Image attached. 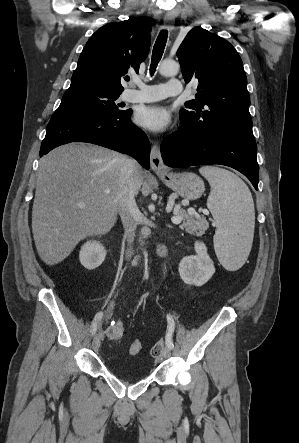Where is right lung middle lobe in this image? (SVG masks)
<instances>
[{"label": "right lung middle lobe", "instance_id": "right-lung-middle-lobe-1", "mask_svg": "<svg viewBox=\"0 0 299 443\" xmlns=\"http://www.w3.org/2000/svg\"><path fill=\"white\" fill-rule=\"evenodd\" d=\"M120 94L100 88L72 87L64 93L58 109L97 114H119L126 111L115 103Z\"/></svg>", "mask_w": 299, "mask_h": 443}]
</instances>
